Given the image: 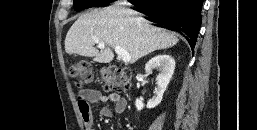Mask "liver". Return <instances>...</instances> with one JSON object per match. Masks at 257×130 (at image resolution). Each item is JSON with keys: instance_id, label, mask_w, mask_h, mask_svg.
Masks as SVG:
<instances>
[{"instance_id": "liver-1", "label": "liver", "mask_w": 257, "mask_h": 130, "mask_svg": "<svg viewBox=\"0 0 257 130\" xmlns=\"http://www.w3.org/2000/svg\"><path fill=\"white\" fill-rule=\"evenodd\" d=\"M175 34L152 26L132 10L107 7L81 15L70 27L65 38V51L92 57L99 63H110L114 58L112 47L127 51L135 63L138 59L178 43ZM103 42L106 47L98 51L94 45Z\"/></svg>"}]
</instances>
